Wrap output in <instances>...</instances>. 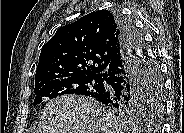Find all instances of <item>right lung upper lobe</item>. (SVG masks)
<instances>
[{"label": "right lung upper lobe", "mask_w": 184, "mask_h": 133, "mask_svg": "<svg viewBox=\"0 0 184 133\" xmlns=\"http://www.w3.org/2000/svg\"><path fill=\"white\" fill-rule=\"evenodd\" d=\"M121 36L117 17L108 10L60 27L41 50L35 87L61 78L102 75L120 51Z\"/></svg>", "instance_id": "obj_1"}]
</instances>
